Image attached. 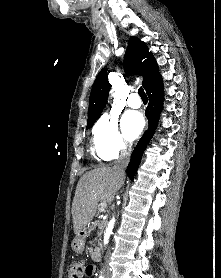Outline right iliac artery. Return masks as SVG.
Returning <instances> with one entry per match:
<instances>
[{"label": "right iliac artery", "instance_id": "82829eb1", "mask_svg": "<svg viewBox=\"0 0 221 278\" xmlns=\"http://www.w3.org/2000/svg\"><path fill=\"white\" fill-rule=\"evenodd\" d=\"M99 278H103V276L101 275Z\"/></svg>", "mask_w": 221, "mask_h": 278}]
</instances>
